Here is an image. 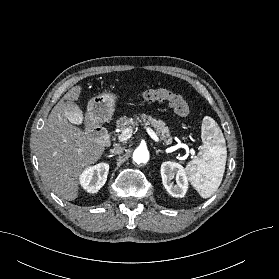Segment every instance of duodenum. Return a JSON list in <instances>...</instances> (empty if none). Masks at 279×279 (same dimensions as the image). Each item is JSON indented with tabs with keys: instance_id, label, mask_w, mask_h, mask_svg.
<instances>
[{
	"instance_id": "duodenum-1",
	"label": "duodenum",
	"mask_w": 279,
	"mask_h": 279,
	"mask_svg": "<svg viewBox=\"0 0 279 279\" xmlns=\"http://www.w3.org/2000/svg\"><path fill=\"white\" fill-rule=\"evenodd\" d=\"M92 135L99 139L104 145L108 146L110 144V135L106 128L96 127L92 130Z\"/></svg>"
}]
</instances>
